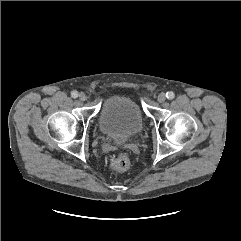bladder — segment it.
<instances>
[{
    "label": "bladder",
    "instance_id": "bladder-1",
    "mask_svg": "<svg viewBox=\"0 0 241 241\" xmlns=\"http://www.w3.org/2000/svg\"><path fill=\"white\" fill-rule=\"evenodd\" d=\"M98 126L106 138L123 143L142 131L143 117L138 104L132 98L114 95L102 103Z\"/></svg>",
    "mask_w": 241,
    "mask_h": 241
}]
</instances>
